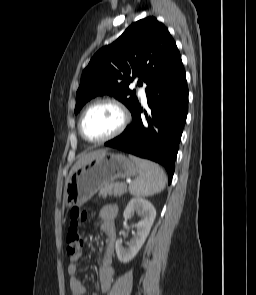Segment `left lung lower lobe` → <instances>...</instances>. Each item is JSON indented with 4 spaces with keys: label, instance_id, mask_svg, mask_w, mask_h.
<instances>
[{
    "label": "left lung lower lobe",
    "instance_id": "obj_1",
    "mask_svg": "<svg viewBox=\"0 0 256 295\" xmlns=\"http://www.w3.org/2000/svg\"><path fill=\"white\" fill-rule=\"evenodd\" d=\"M151 112L142 120L141 106L132 113V123L124 132L105 143L165 167L171 183L178 145L188 112V87L185 70L180 60L146 90Z\"/></svg>",
    "mask_w": 256,
    "mask_h": 295
}]
</instances>
